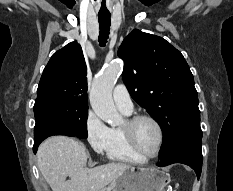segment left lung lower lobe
I'll return each mask as SVG.
<instances>
[{
	"label": "left lung lower lobe",
	"instance_id": "obj_1",
	"mask_svg": "<svg viewBox=\"0 0 233 191\" xmlns=\"http://www.w3.org/2000/svg\"><path fill=\"white\" fill-rule=\"evenodd\" d=\"M202 138H189L182 141L178 146L168 152L161 158L158 166H167L173 163H182L189 165L195 170L197 179L200 178L202 170Z\"/></svg>",
	"mask_w": 233,
	"mask_h": 191
}]
</instances>
